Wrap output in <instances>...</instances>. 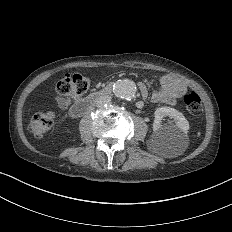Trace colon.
<instances>
[{
  "label": "colon",
  "mask_w": 232,
  "mask_h": 232,
  "mask_svg": "<svg viewBox=\"0 0 232 232\" xmlns=\"http://www.w3.org/2000/svg\"><path fill=\"white\" fill-rule=\"evenodd\" d=\"M62 79L55 84V89L59 93L84 94L88 89H95V84H89V82H92V77H82L78 70L71 71ZM201 103L202 98L198 94L188 92L183 97L182 106L184 111H189L188 117H199ZM29 121H32L33 126H29L28 130L32 131L35 137H44L46 131L51 130L50 126H46L52 125L50 112H37V116H29Z\"/></svg>",
  "instance_id": "obj_1"
}]
</instances>
